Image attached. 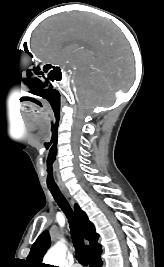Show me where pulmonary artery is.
<instances>
[{"label": "pulmonary artery", "mask_w": 164, "mask_h": 267, "mask_svg": "<svg viewBox=\"0 0 164 267\" xmlns=\"http://www.w3.org/2000/svg\"><path fill=\"white\" fill-rule=\"evenodd\" d=\"M72 267H80L79 264H74Z\"/></svg>", "instance_id": "obj_1"}]
</instances>
